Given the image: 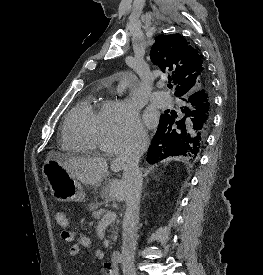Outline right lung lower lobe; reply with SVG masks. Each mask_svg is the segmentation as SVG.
I'll list each match as a JSON object with an SVG mask.
<instances>
[{
	"instance_id": "obj_1",
	"label": "right lung lower lobe",
	"mask_w": 263,
	"mask_h": 275,
	"mask_svg": "<svg viewBox=\"0 0 263 275\" xmlns=\"http://www.w3.org/2000/svg\"><path fill=\"white\" fill-rule=\"evenodd\" d=\"M208 84H210L207 73H205ZM208 88L202 87L195 92L180 96L184 101L181 112L185 116L175 122L170 114H162L158 130L151 141L148 149V161L155 163L169 156H190L198 154L205 142L207 132L211 126L205 109ZM175 122V126L172 125Z\"/></svg>"
}]
</instances>
